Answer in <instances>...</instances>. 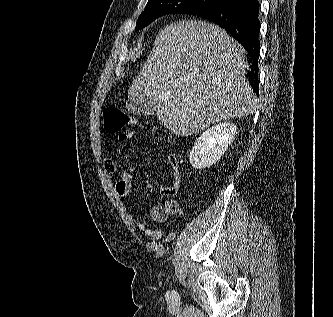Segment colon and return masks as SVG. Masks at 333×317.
Segmentation results:
<instances>
[{
    "label": "colon",
    "mask_w": 333,
    "mask_h": 317,
    "mask_svg": "<svg viewBox=\"0 0 333 317\" xmlns=\"http://www.w3.org/2000/svg\"><path fill=\"white\" fill-rule=\"evenodd\" d=\"M134 123L135 119L119 107L108 106L103 111V127L108 134H120Z\"/></svg>",
    "instance_id": "1"
}]
</instances>
